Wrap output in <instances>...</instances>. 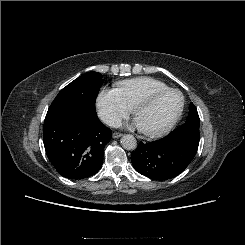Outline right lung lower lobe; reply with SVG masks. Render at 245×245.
Here are the masks:
<instances>
[{
    "label": "right lung lower lobe",
    "instance_id": "98d812e1",
    "mask_svg": "<svg viewBox=\"0 0 245 245\" xmlns=\"http://www.w3.org/2000/svg\"><path fill=\"white\" fill-rule=\"evenodd\" d=\"M111 130L96 113L66 107L47 112L43 141L47 156L65 178L80 180L96 174L103 163Z\"/></svg>",
    "mask_w": 245,
    "mask_h": 245
}]
</instances>
